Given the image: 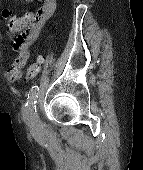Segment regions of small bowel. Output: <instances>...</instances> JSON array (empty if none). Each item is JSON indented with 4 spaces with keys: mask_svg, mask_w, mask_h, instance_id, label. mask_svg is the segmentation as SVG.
I'll return each instance as SVG.
<instances>
[{
    "mask_svg": "<svg viewBox=\"0 0 143 170\" xmlns=\"http://www.w3.org/2000/svg\"><path fill=\"white\" fill-rule=\"evenodd\" d=\"M32 1V0H26ZM42 6L38 11L32 15L30 18L24 17H12L9 14L8 21H15L21 23V27H12L10 25L9 29L11 32H19L24 30L23 34L17 38L13 47L18 52L17 57L12 61L10 67L6 71V78L13 83L19 82L23 77V70L27 65L29 59V48L35 42L39 36L42 28L47 23V21L53 16L56 9V0H39Z\"/></svg>",
    "mask_w": 143,
    "mask_h": 170,
    "instance_id": "1",
    "label": "small bowel"
}]
</instances>
